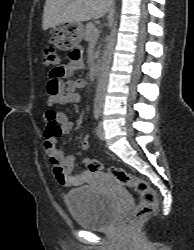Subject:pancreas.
<instances>
[{
	"instance_id": "pancreas-1",
	"label": "pancreas",
	"mask_w": 194,
	"mask_h": 250,
	"mask_svg": "<svg viewBox=\"0 0 194 250\" xmlns=\"http://www.w3.org/2000/svg\"><path fill=\"white\" fill-rule=\"evenodd\" d=\"M95 31L98 32V34L96 35L95 34ZM99 37V31L97 29V27L95 26L94 23L92 22H89L86 24V28L84 30V39H86L87 41H90V40H97ZM95 57H98V52L96 51L95 52Z\"/></svg>"
}]
</instances>
